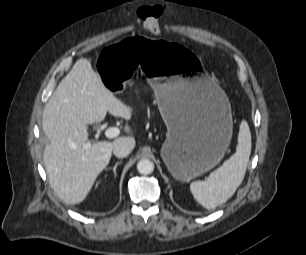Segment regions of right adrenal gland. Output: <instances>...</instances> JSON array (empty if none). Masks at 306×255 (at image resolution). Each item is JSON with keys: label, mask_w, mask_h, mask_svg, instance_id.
<instances>
[{"label": "right adrenal gland", "mask_w": 306, "mask_h": 255, "mask_svg": "<svg viewBox=\"0 0 306 255\" xmlns=\"http://www.w3.org/2000/svg\"><path fill=\"white\" fill-rule=\"evenodd\" d=\"M121 163H122V161H118V162H116V164L114 165L113 168H108L109 170L112 169L114 176H116V168H117V166L119 164H121Z\"/></svg>", "instance_id": "right-adrenal-gland-1"}]
</instances>
